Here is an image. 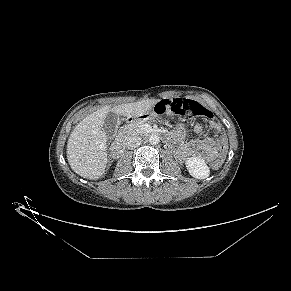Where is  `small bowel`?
I'll return each instance as SVG.
<instances>
[{"label": "small bowel", "instance_id": "c3829d8e", "mask_svg": "<svg viewBox=\"0 0 291 291\" xmlns=\"http://www.w3.org/2000/svg\"><path fill=\"white\" fill-rule=\"evenodd\" d=\"M210 126L217 132H220L221 125L218 122L210 123ZM195 132L201 133L203 131V125L197 123L194 127ZM185 126L182 122L177 123L176 129L172 134L171 138L174 142L178 143L179 146L176 150V155L180 160H185L189 156H200L208 162L220 160V151L217 148L224 141L222 137L219 139H213L206 137L203 139L192 140L184 142Z\"/></svg>", "mask_w": 291, "mask_h": 291}]
</instances>
